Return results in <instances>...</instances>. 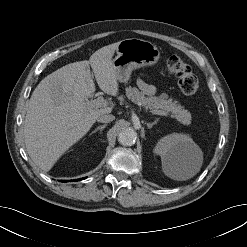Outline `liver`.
<instances>
[{"mask_svg":"<svg viewBox=\"0 0 247 247\" xmlns=\"http://www.w3.org/2000/svg\"><path fill=\"white\" fill-rule=\"evenodd\" d=\"M119 42L102 47L89 61L70 63L46 76L33 91L24 121V139L33 162L49 171L60 156L81 139L100 114L113 106L96 108L86 101L95 92L90 73L99 88L118 94V80L112 57Z\"/></svg>","mask_w":247,"mask_h":247,"instance_id":"liver-1","label":"liver"}]
</instances>
